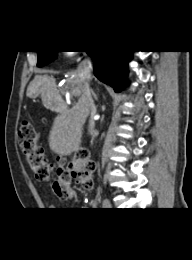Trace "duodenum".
I'll return each mask as SVG.
<instances>
[{
  "mask_svg": "<svg viewBox=\"0 0 192 260\" xmlns=\"http://www.w3.org/2000/svg\"><path fill=\"white\" fill-rule=\"evenodd\" d=\"M58 109L64 110V109H66V106L62 102H58Z\"/></svg>",
  "mask_w": 192,
  "mask_h": 260,
  "instance_id": "410a0bca",
  "label": "duodenum"
}]
</instances>
